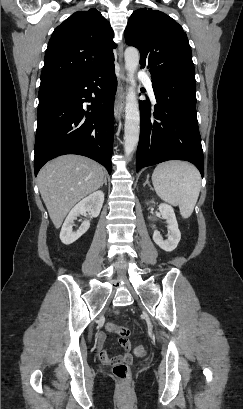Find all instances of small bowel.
<instances>
[{
	"label": "small bowel",
	"mask_w": 243,
	"mask_h": 409,
	"mask_svg": "<svg viewBox=\"0 0 243 409\" xmlns=\"http://www.w3.org/2000/svg\"><path fill=\"white\" fill-rule=\"evenodd\" d=\"M94 343L100 361L105 364L112 365L120 361L130 362L132 360L131 344L128 339L120 340V344L122 348L125 350V352L123 355H118L115 357L110 356L107 349L104 348L105 343L104 333L102 332L97 333L94 338Z\"/></svg>",
	"instance_id": "1"
}]
</instances>
